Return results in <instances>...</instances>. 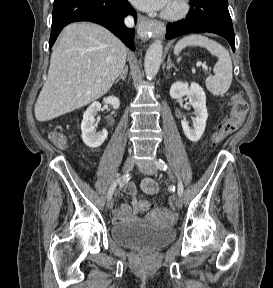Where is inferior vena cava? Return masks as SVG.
Masks as SVG:
<instances>
[{"instance_id": "obj_1", "label": "inferior vena cava", "mask_w": 273, "mask_h": 288, "mask_svg": "<svg viewBox=\"0 0 273 288\" xmlns=\"http://www.w3.org/2000/svg\"><path fill=\"white\" fill-rule=\"evenodd\" d=\"M125 24L128 26V27H133L134 26V20L132 17L128 16L125 18Z\"/></svg>"}]
</instances>
